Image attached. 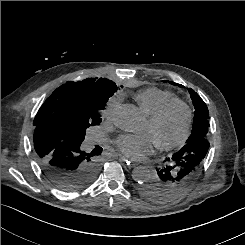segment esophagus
<instances>
[{
	"label": "esophagus",
	"mask_w": 245,
	"mask_h": 245,
	"mask_svg": "<svg viewBox=\"0 0 245 245\" xmlns=\"http://www.w3.org/2000/svg\"><path fill=\"white\" fill-rule=\"evenodd\" d=\"M119 160L124 162L125 166L128 167V168H133V167L136 166V164L132 160H130L128 158H125L124 156H120Z\"/></svg>",
	"instance_id": "obj_1"
}]
</instances>
